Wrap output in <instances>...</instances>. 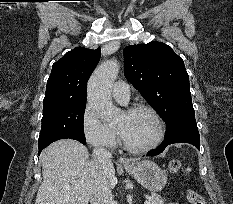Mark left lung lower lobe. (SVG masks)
Returning a JSON list of instances; mask_svg holds the SVG:
<instances>
[{
  "label": "left lung lower lobe",
  "mask_w": 233,
  "mask_h": 204,
  "mask_svg": "<svg viewBox=\"0 0 233 204\" xmlns=\"http://www.w3.org/2000/svg\"><path fill=\"white\" fill-rule=\"evenodd\" d=\"M173 143H190L200 149L199 132L198 130L194 129L180 130L173 134L171 137L165 138L161 145L157 149L150 151L147 156L158 155L162 153L168 145Z\"/></svg>",
  "instance_id": "left-lung-lower-lobe-1"
}]
</instances>
